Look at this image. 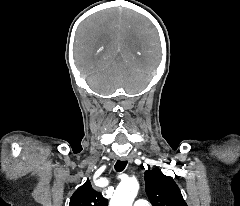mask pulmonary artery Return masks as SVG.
Wrapping results in <instances>:
<instances>
[{
	"instance_id": "obj_1",
	"label": "pulmonary artery",
	"mask_w": 240,
	"mask_h": 206,
	"mask_svg": "<svg viewBox=\"0 0 240 206\" xmlns=\"http://www.w3.org/2000/svg\"><path fill=\"white\" fill-rule=\"evenodd\" d=\"M133 206H151V205L147 200L138 199V200L135 201Z\"/></svg>"
}]
</instances>
